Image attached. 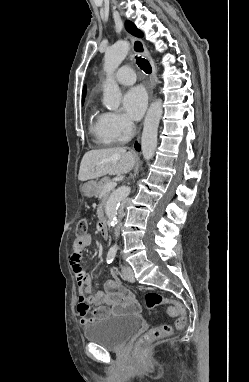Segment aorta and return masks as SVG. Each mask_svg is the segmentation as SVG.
Wrapping results in <instances>:
<instances>
[{
	"label": "aorta",
	"mask_w": 249,
	"mask_h": 382,
	"mask_svg": "<svg viewBox=\"0 0 249 382\" xmlns=\"http://www.w3.org/2000/svg\"><path fill=\"white\" fill-rule=\"evenodd\" d=\"M128 51L129 43L126 41H118L105 52L104 71L106 72V81L103 84V104L108 110L116 111L120 106L122 93L113 79V73L125 59ZM162 113V101L157 100L150 105L145 116L141 148L143 157L146 160H150L154 156L157 147V131ZM130 192V187H122L111 195L105 208L110 226L117 224V211L120 202L126 198ZM113 249L116 250L117 246L114 245Z\"/></svg>",
	"instance_id": "762f6f07"
}]
</instances>
